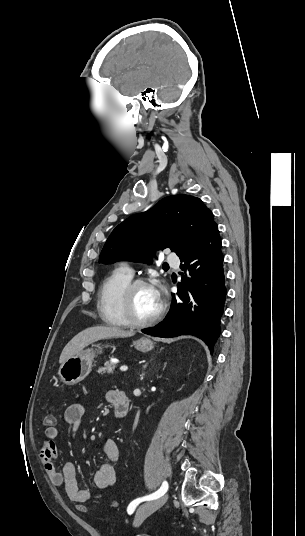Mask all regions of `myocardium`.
Segmentation results:
<instances>
[{
    "label": "myocardium",
    "instance_id": "1",
    "mask_svg": "<svg viewBox=\"0 0 305 536\" xmlns=\"http://www.w3.org/2000/svg\"><path fill=\"white\" fill-rule=\"evenodd\" d=\"M141 285H150L154 287V284L152 282L143 278H138V279L131 280L124 287L121 293V309H122L123 315L128 325L142 326V325L153 323L157 321L158 319H160L165 311V305L162 302H160V306L158 310L152 315H149L147 317H139L134 313L132 304H131V296H132L133 290Z\"/></svg>",
    "mask_w": 305,
    "mask_h": 536
}]
</instances>
